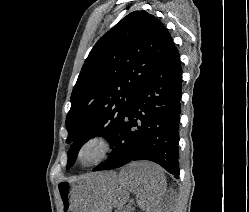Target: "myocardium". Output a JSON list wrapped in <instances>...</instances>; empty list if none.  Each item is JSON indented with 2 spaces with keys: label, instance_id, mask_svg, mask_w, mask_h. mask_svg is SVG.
<instances>
[{
  "label": "myocardium",
  "instance_id": "1",
  "mask_svg": "<svg viewBox=\"0 0 249 212\" xmlns=\"http://www.w3.org/2000/svg\"><path fill=\"white\" fill-rule=\"evenodd\" d=\"M92 143H100L103 146L101 154L93 160L83 161L81 159L84 149ZM116 149L115 139L104 132L94 133L84 138L75 150V161L83 167H93L108 159Z\"/></svg>",
  "mask_w": 249,
  "mask_h": 212
}]
</instances>
